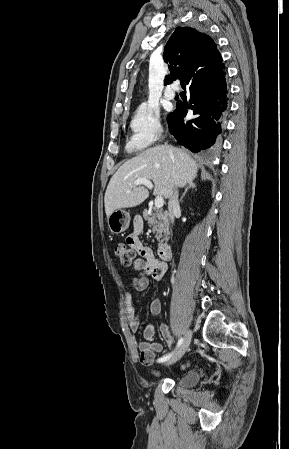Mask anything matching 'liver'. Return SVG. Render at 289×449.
<instances>
[{
  "mask_svg": "<svg viewBox=\"0 0 289 449\" xmlns=\"http://www.w3.org/2000/svg\"><path fill=\"white\" fill-rule=\"evenodd\" d=\"M197 170L196 161L180 148L161 145L139 153L120 166L110 179L104 198L107 217L115 210L138 206L148 198L145 187L133 186L136 179L152 180L153 194L168 199L174 187H184L194 180Z\"/></svg>",
  "mask_w": 289,
  "mask_h": 449,
  "instance_id": "6515ba94",
  "label": "liver"
}]
</instances>
